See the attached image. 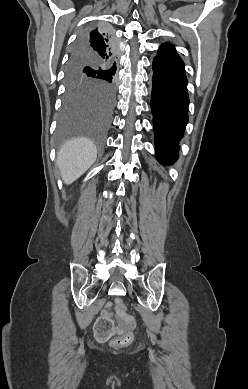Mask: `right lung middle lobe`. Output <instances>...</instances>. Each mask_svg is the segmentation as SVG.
Masks as SVG:
<instances>
[{"label":"right lung middle lobe","mask_w":248,"mask_h":389,"mask_svg":"<svg viewBox=\"0 0 248 389\" xmlns=\"http://www.w3.org/2000/svg\"><path fill=\"white\" fill-rule=\"evenodd\" d=\"M89 31H84V37ZM116 66L94 58L75 46L67 66V91L59 122L58 142L88 136L97 146L104 143V131L115 104Z\"/></svg>","instance_id":"right-lung-middle-lobe-1"}]
</instances>
